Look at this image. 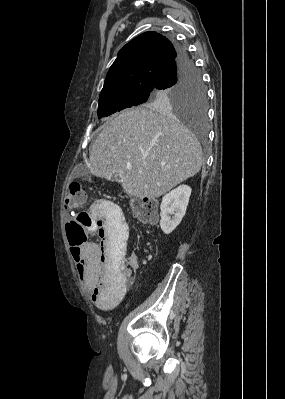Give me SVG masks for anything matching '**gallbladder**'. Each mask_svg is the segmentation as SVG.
<instances>
[{
  "label": "gallbladder",
  "mask_w": 285,
  "mask_h": 399,
  "mask_svg": "<svg viewBox=\"0 0 285 399\" xmlns=\"http://www.w3.org/2000/svg\"><path fill=\"white\" fill-rule=\"evenodd\" d=\"M112 181H117L116 175L114 176V178L112 179Z\"/></svg>",
  "instance_id": "obj_1"
}]
</instances>
